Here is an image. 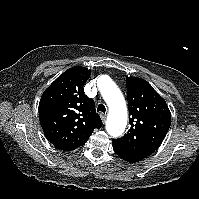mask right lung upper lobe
<instances>
[{
	"label": "right lung upper lobe",
	"instance_id": "cb5924a9",
	"mask_svg": "<svg viewBox=\"0 0 199 199\" xmlns=\"http://www.w3.org/2000/svg\"><path fill=\"white\" fill-rule=\"evenodd\" d=\"M91 71L73 67L61 74L42 94L39 120L47 139L59 150L84 145L95 128L102 126L94 101L83 86Z\"/></svg>",
	"mask_w": 199,
	"mask_h": 199
}]
</instances>
